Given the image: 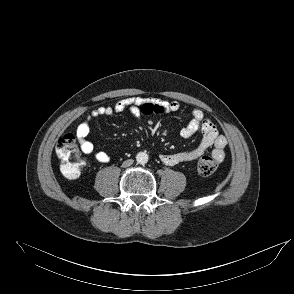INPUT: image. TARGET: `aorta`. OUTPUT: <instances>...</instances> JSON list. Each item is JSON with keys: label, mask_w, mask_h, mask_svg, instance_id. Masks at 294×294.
<instances>
[{"label": "aorta", "mask_w": 294, "mask_h": 294, "mask_svg": "<svg viewBox=\"0 0 294 294\" xmlns=\"http://www.w3.org/2000/svg\"><path fill=\"white\" fill-rule=\"evenodd\" d=\"M148 154L146 152H139L137 155H136V161L138 164H146L148 162Z\"/></svg>", "instance_id": "obj_1"}]
</instances>
